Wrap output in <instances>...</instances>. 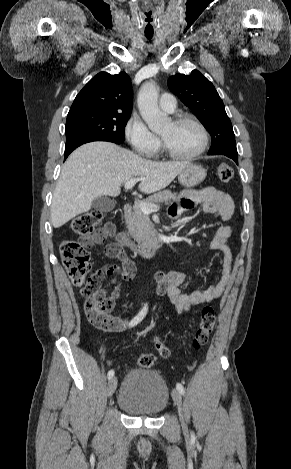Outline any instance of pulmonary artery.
Returning a JSON list of instances; mask_svg holds the SVG:
<instances>
[{"label":"pulmonary artery","mask_w":291,"mask_h":469,"mask_svg":"<svg viewBox=\"0 0 291 469\" xmlns=\"http://www.w3.org/2000/svg\"><path fill=\"white\" fill-rule=\"evenodd\" d=\"M176 98L169 93H164L161 95L160 100H159V106L161 109L164 111H167L169 113H172L176 109Z\"/></svg>","instance_id":"pulmonary-artery-1"}]
</instances>
